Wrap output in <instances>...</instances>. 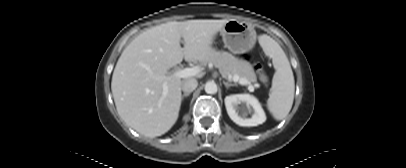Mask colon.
Segmentation results:
<instances>
[{"label": "colon", "instance_id": "5ec220e1", "mask_svg": "<svg viewBox=\"0 0 406 168\" xmlns=\"http://www.w3.org/2000/svg\"><path fill=\"white\" fill-rule=\"evenodd\" d=\"M256 69L259 71L260 76L264 82L268 81L267 75L263 72L262 65L256 64Z\"/></svg>", "mask_w": 406, "mask_h": 168}]
</instances>
